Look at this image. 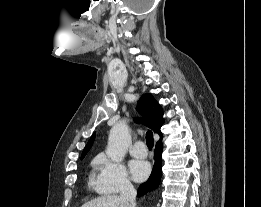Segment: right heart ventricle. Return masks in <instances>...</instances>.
<instances>
[{
    "label": "right heart ventricle",
    "mask_w": 261,
    "mask_h": 207,
    "mask_svg": "<svg viewBox=\"0 0 261 207\" xmlns=\"http://www.w3.org/2000/svg\"><path fill=\"white\" fill-rule=\"evenodd\" d=\"M93 164H94V165L97 164V158L93 160Z\"/></svg>",
    "instance_id": "1"
}]
</instances>
